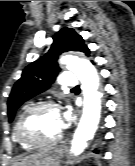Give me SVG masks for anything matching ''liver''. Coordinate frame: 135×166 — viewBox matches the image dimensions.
Wrapping results in <instances>:
<instances>
[{"instance_id":"6515ba94","label":"liver","mask_w":135,"mask_h":166,"mask_svg":"<svg viewBox=\"0 0 135 166\" xmlns=\"http://www.w3.org/2000/svg\"><path fill=\"white\" fill-rule=\"evenodd\" d=\"M39 153H36V154H32V155H29L28 157H25V158H21L17 161H15V163L13 164V166H28L30 164V160L32 158H34L35 156H37Z\"/></svg>"}]
</instances>
